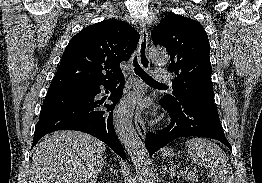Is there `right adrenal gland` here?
<instances>
[{
	"label": "right adrenal gland",
	"instance_id": "2a0ac1e0",
	"mask_svg": "<svg viewBox=\"0 0 262 183\" xmlns=\"http://www.w3.org/2000/svg\"><path fill=\"white\" fill-rule=\"evenodd\" d=\"M102 166L108 168L110 170V172L113 173V169L105 161L102 162Z\"/></svg>",
	"mask_w": 262,
	"mask_h": 183
}]
</instances>
